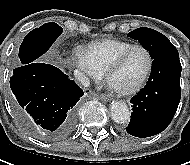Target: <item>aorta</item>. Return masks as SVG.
<instances>
[{
	"label": "aorta",
	"instance_id": "obj_1",
	"mask_svg": "<svg viewBox=\"0 0 190 165\" xmlns=\"http://www.w3.org/2000/svg\"><path fill=\"white\" fill-rule=\"evenodd\" d=\"M112 119L118 124L127 123L130 119V112L126 103L113 102L110 107Z\"/></svg>",
	"mask_w": 190,
	"mask_h": 165
}]
</instances>
